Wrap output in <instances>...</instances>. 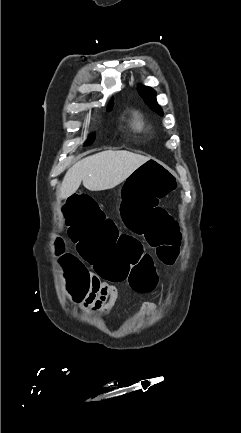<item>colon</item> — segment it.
<instances>
[{"label":"colon","mask_w":241,"mask_h":433,"mask_svg":"<svg viewBox=\"0 0 241 433\" xmlns=\"http://www.w3.org/2000/svg\"><path fill=\"white\" fill-rule=\"evenodd\" d=\"M169 169L158 157H147L125 181L118 205L123 225L132 228L135 234H126V230H119L115 220H106L102 206L96 204L89 192H69L64 200L67 218L62 226L70 229L69 237L75 243L77 257L82 259L65 253L60 243L57 254L62 257L59 264L69 280L67 286L75 297L74 305H82L91 289V273L82 261L108 281L129 280L136 292L154 288V260L136 235H146L160 263H175L182 235L179 220L173 212H166V207H158V202L180 185V178Z\"/></svg>","instance_id":"5ec220e1"}]
</instances>
